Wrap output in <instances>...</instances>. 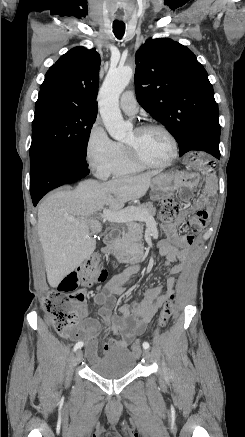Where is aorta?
Here are the masks:
<instances>
[{
  "instance_id": "1",
  "label": "aorta",
  "mask_w": 245,
  "mask_h": 437,
  "mask_svg": "<svg viewBox=\"0 0 245 437\" xmlns=\"http://www.w3.org/2000/svg\"><path fill=\"white\" fill-rule=\"evenodd\" d=\"M133 75L130 67L110 69L99 91V109L103 123L113 139L126 137L129 126L124 122L119 109V96Z\"/></svg>"
}]
</instances>
